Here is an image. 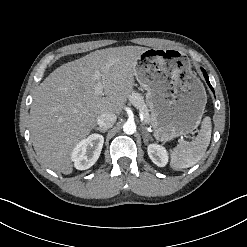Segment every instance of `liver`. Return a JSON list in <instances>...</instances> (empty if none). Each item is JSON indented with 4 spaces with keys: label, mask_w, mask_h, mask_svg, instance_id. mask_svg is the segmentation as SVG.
I'll use <instances>...</instances> for the list:
<instances>
[{
    "label": "liver",
    "mask_w": 247,
    "mask_h": 247,
    "mask_svg": "<svg viewBox=\"0 0 247 247\" xmlns=\"http://www.w3.org/2000/svg\"><path fill=\"white\" fill-rule=\"evenodd\" d=\"M148 48L121 46L96 50L55 69L37 88L30 110L31 139L48 168L71 174L73 148L104 112L119 115L133 92L134 67ZM96 71L103 94L95 92Z\"/></svg>",
    "instance_id": "liver-1"
}]
</instances>
